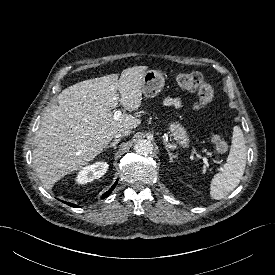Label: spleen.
Listing matches in <instances>:
<instances>
[{
  "label": "spleen",
  "instance_id": "obj_1",
  "mask_svg": "<svg viewBox=\"0 0 275 275\" xmlns=\"http://www.w3.org/2000/svg\"><path fill=\"white\" fill-rule=\"evenodd\" d=\"M247 149L245 138L239 126H234L232 145L226 163L210 184V196L220 200L232 192L239 184L246 167Z\"/></svg>",
  "mask_w": 275,
  "mask_h": 275
}]
</instances>
